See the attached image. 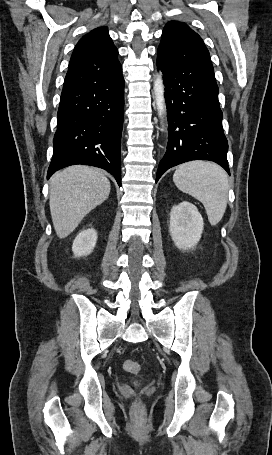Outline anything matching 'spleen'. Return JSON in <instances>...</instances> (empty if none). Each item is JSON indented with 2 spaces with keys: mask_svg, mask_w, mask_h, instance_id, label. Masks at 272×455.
Masks as SVG:
<instances>
[{
  "mask_svg": "<svg viewBox=\"0 0 272 455\" xmlns=\"http://www.w3.org/2000/svg\"><path fill=\"white\" fill-rule=\"evenodd\" d=\"M173 181L181 191L202 202L211 225L220 222L227 207L229 189L222 167L206 161L184 163L176 169Z\"/></svg>",
  "mask_w": 272,
  "mask_h": 455,
  "instance_id": "3e777b00",
  "label": "spleen"
}]
</instances>
